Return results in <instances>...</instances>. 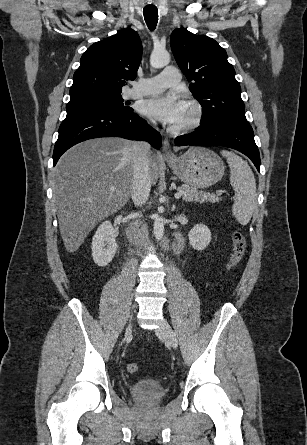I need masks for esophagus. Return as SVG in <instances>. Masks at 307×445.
Segmentation results:
<instances>
[{
	"mask_svg": "<svg viewBox=\"0 0 307 445\" xmlns=\"http://www.w3.org/2000/svg\"><path fill=\"white\" fill-rule=\"evenodd\" d=\"M162 153H163V156L166 157V158H175V156H174V154L172 152V149H171V146H170L168 138H164L163 147H162Z\"/></svg>",
	"mask_w": 307,
	"mask_h": 445,
	"instance_id": "34e87169",
	"label": "esophagus"
}]
</instances>
